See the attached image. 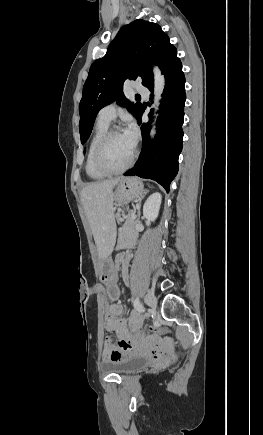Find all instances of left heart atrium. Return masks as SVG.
Listing matches in <instances>:
<instances>
[{"label":"left heart atrium","mask_w":263,"mask_h":435,"mask_svg":"<svg viewBox=\"0 0 263 435\" xmlns=\"http://www.w3.org/2000/svg\"><path fill=\"white\" fill-rule=\"evenodd\" d=\"M123 135L126 138L127 142L130 144V146L132 148H134L136 146L138 138H139L138 128L135 125V123L130 122L127 125Z\"/></svg>","instance_id":"39dd6f15"}]
</instances>
